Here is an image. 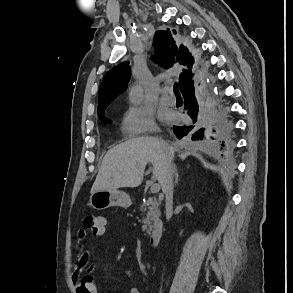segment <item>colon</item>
Here are the masks:
<instances>
[{
    "mask_svg": "<svg viewBox=\"0 0 293 293\" xmlns=\"http://www.w3.org/2000/svg\"><path fill=\"white\" fill-rule=\"evenodd\" d=\"M84 226L94 235L101 233L105 227L104 217L96 214H87L84 218Z\"/></svg>",
    "mask_w": 293,
    "mask_h": 293,
    "instance_id": "colon-1",
    "label": "colon"
}]
</instances>
